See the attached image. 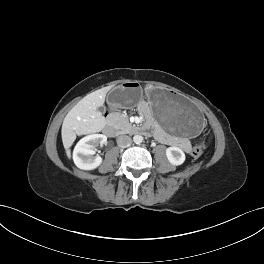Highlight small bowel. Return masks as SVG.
<instances>
[{
	"label": "small bowel",
	"mask_w": 264,
	"mask_h": 264,
	"mask_svg": "<svg viewBox=\"0 0 264 264\" xmlns=\"http://www.w3.org/2000/svg\"><path fill=\"white\" fill-rule=\"evenodd\" d=\"M156 136L163 142H166L169 144H174V143L179 144L186 151H188L190 148L188 141L186 140L174 141V140L168 139L161 130L156 131Z\"/></svg>",
	"instance_id": "small-bowel-1"
}]
</instances>
